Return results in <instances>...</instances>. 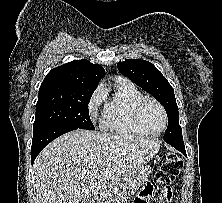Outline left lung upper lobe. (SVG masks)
Returning <instances> with one entry per match:
<instances>
[{"label":"left lung upper lobe","mask_w":222,"mask_h":203,"mask_svg":"<svg viewBox=\"0 0 222 203\" xmlns=\"http://www.w3.org/2000/svg\"><path fill=\"white\" fill-rule=\"evenodd\" d=\"M118 70L136 85L150 93L165 108L168 116V127L164 141L182 143V129L179 125L178 106L174 90L162 73L150 62L140 59H127L117 64Z\"/></svg>","instance_id":"left-lung-upper-lobe-1"}]
</instances>
